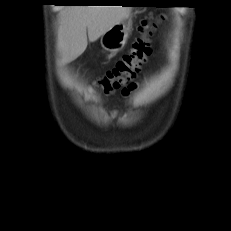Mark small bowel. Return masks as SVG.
Listing matches in <instances>:
<instances>
[{"label": "small bowel", "mask_w": 231, "mask_h": 231, "mask_svg": "<svg viewBox=\"0 0 231 231\" xmlns=\"http://www.w3.org/2000/svg\"><path fill=\"white\" fill-rule=\"evenodd\" d=\"M135 88L134 84H129L127 87H125L122 91L123 95H127L131 90Z\"/></svg>", "instance_id": "obj_1"}]
</instances>
